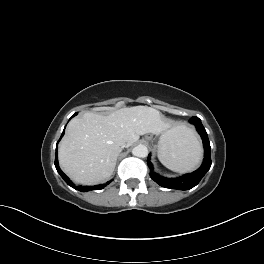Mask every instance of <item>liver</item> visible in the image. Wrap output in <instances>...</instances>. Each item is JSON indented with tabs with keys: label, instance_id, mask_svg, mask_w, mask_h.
I'll return each mask as SVG.
<instances>
[{
	"label": "liver",
	"instance_id": "6515ba94",
	"mask_svg": "<svg viewBox=\"0 0 264 264\" xmlns=\"http://www.w3.org/2000/svg\"><path fill=\"white\" fill-rule=\"evenodd\" d=\"M169 128L160 112L148 106L126 107L108 116L87 112L69 122L59 145V164L75 182L96 184L112 175L121 143L129 147L147 133L171 137L177 127Z\"/></svg>",
	"mask_w": 264,
	"mask_h": 264
}]
</instances>
